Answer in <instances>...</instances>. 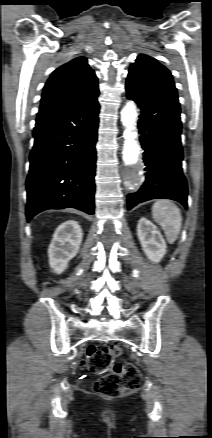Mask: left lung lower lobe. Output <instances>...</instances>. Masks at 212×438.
I'll return each mask as SVG.
<instances>
[{
  "mask_svg": "<svg viewBox=\"0 0 212 438\" xmlns=\"http://www.w3.org/2000/svg\"><path fill=\"white\" fill-rule=\"evenodd\" d=\"M126 90L128 98L137 103L141 112L139 140L145 150L146 165L142 187L127 196L128 209L155 198L176 200L187 207L179 102L132 84H126Z\"/></svg>",
  "mask_w": 212,
  "mask_h": 438,
  "instance_id": "1",
  "label": "left lung lower lobe"
}]
</instances>
